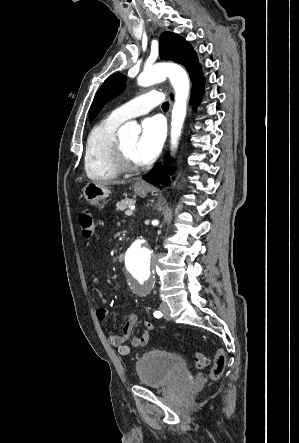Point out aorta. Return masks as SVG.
Wrapping results in <instances>:
<instances>
[{
  "label": "aorta",
  "mask_w": 299,
  "mask_h": 443,
  "mask_svg": "<svg viewBox=\"0 0 299 443\" xmlns=\"http://www.w3.org/2000/svg\"><path fill=\"white\" fill-rule=\"evenodd\" d=\"M175 91V103L172 109L171 122V149L175 150L181 136L183 123L186 117L187 99L189 95V78L185 70L175 64H157L145 69L138 77L140 86H150L161 82L166 78ZM140 127L133 122L123 125L119 131L120 138L129 135L137 136ZM157 223L154 225L156 226ZM154 227L150 228L144 236L137 238L129 247L125 255V266L130 275L135 279L134 291L136 294H146L151 286L153 254L147 242V238L153 233Z\"/></svg>",
  "instance_id": "762f6f07"
}]
</instances>
